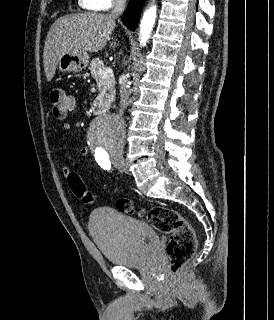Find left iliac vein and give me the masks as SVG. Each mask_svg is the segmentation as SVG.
Returning <instances> with one entry per match:
<instances>
[{"label": "left iliac vein", "mask_w": 274, "mask_h": 320, "mask_svg": "<svg viewBox=\"0 0 274 320\" xmlns=\"http://www.w3.org/2000/svg\"><path fill=\"white\" fill-rule=\"evenodd\" d=\"M115 166L121 173H126L127 172V165H126V162L124 160L116 161L115 162Z\"/></svg>", "instance_id": "obj_1"}]
</instances>
